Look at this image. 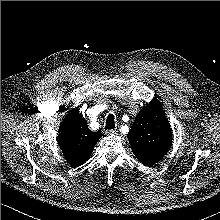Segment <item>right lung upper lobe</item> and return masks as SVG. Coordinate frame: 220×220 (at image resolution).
Here are the masks:
<instances>
[{"label":"right lung upper lobe","instance_id":"obj_1","mask_svg":"<svg viewBox=\"0 0 220 220\" xmlns=\"http://www.w3.org/2000/svg\"><path fill=\"white\" fill-rule=\"evenodd\" d=\"M100 137L101 132L90 131L87 122L77 109L68 113L58 130V143L63 155L74 167L82 165L89 159Z\"/></svg>","mask_w":220,"mask_h":220}]
</instances>
